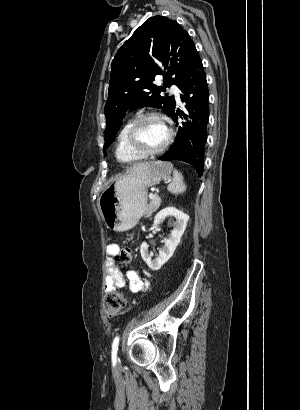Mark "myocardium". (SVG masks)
<instances>
[{
  "label": "myocardium",
  "instance_id": "1",
  "mask_svg": "<svg viewBox=\"0 0 300 410\" xmlns=\"http://www.w3.org/2000/svg\"><path fill=\"white\" fill-rule=\"evenodd\" d=\"M149 119H158L160 120L163 125L165 126L166 130H167V138L165 140V142L157 149L154 150H146L144 149L137 137V133H138V129L141 126V124L143 122H145L146 120ZM127 143L128 146L138 155H140L141 157L145 158V157H150V156H155L158 155L160 153H162L163 151H165L168 146L170 145L172 139H173V131L171 129V127L168 125L165 117L157 112H147L144 113L140 116H138L136 119H134V121L131 123V125L128 128L127 131Z\"/></svg>",
  "mask_w": 300,
  "mask_h": 410
}]
</instances>
